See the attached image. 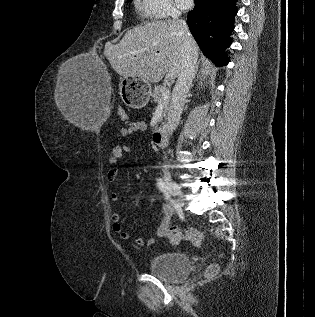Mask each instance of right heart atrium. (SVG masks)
Instances as JSON below:
<instances>
[{"label":"right heart atrium","instance_id":"obj_1","mask_svg":"<svg viewBox=\"0 0 315 317\" xmlns=\"http://www.w3.org/2000/svg\"><path fill=\"white\" fill-rule=\"evenodd\" d=\"M139 8L151 19L176 17L179 14L173 0H139Z\"/></svg>","mask_w":315,"mask_h":317}]
</instances>
